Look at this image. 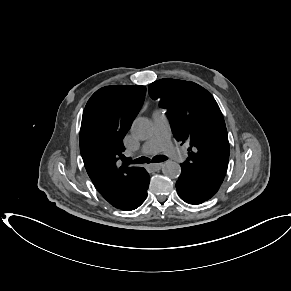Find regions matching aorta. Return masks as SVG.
Listing matches in <instances>:
<instances>
[{"instance_id":"aorta-1","label":"aorta","mask_w":291,"mask_h":291,"mask_svg":"<svg viewBox=\"0 0 291 291\" xmlns=\"http://www.w3.org/2000/svg\"><path fill=\"white\" fill-rule=\"evenodd\" d=\"M132 133L136 138L146 140L153 134V125L147 118L139 117L132 124ZM162 172L165 176L175 179L179 177L181 167L177 162L167 161L163 165Z\"/></svg>"}]
</instances>
